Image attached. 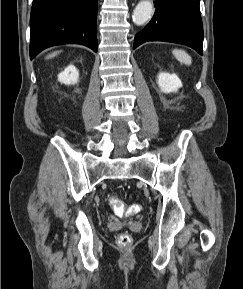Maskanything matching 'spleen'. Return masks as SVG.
I'll list each match as a JSON object with an SVG mask.
<instances>
[{
	"mask_svg": "<svg viewBox=\"0 0 243 289\" xmlns=\"http://www.w3.org/2000/svg\"><path fill=\"white\" fill-rule=\"evenodd\" d=\"M172 53L180 63H183L185 65H191L192 59H191L190 55L187 52H185L184 50L174 49L172 51Z\"/></svg>",
	"mask_w": 243,
	"mask_h": 289,
	"instance_id": "spleen-1",
	"label": "spleen"
}]
</instances>
